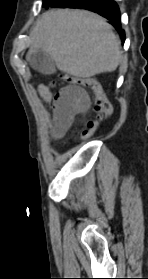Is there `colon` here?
I'll return each instance as SVG.
<instances>
[{
  "label": "colon",
  "mask_w": 148,
  "mask_h": 279,
  "mask_svg": "<svg viewBox=\"0 0 148 279\" xmlns=\"http://www.w3.org/2000/svg\"><path fill=\"white\" fill-rule=\"evenodd\" d=\"M63 81L69 85H75L89 89L95 99V109L99 113L100 119H106L113 113V105L108 99L106 92L100 83V81L94 77L87 78H75V77H63ZM56 83L51 84H39L37 91L44 102H52L56 93ZM98 126V122H91L87 133L95 130Z\"/></svg>",
  "instance_id": "obj_1"
}]
</instances>
